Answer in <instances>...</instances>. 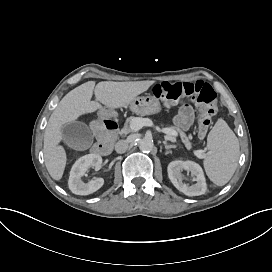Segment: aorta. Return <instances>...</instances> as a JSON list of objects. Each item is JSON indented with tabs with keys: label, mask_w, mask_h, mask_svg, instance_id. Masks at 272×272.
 Listing matches in <instances>:
<instances>
[{
	"label": "aorta",
	"mask_w": 272,
	"mask_h": 272,
	"mask_svg": "<svg viewBox=\"0 0 272 272\" xmlns=\"http://www.w3.org/2000/svg\"><path fill=\"white\" fill-rule=\"evenodd\" d=\"M139 149L142 152H151L154 149V143L152 139L144 138L140 141Z\"/></svg>",
	"instance_id": "obj_1"
}]
</instances>
